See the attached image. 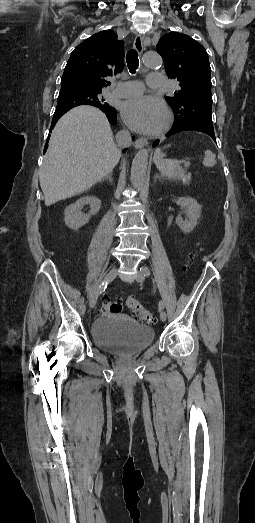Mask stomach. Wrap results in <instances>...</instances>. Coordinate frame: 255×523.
I'll return each instance as SVG.
<instances>
[{
    "label": "stomach",
    "mask_w": 255,
    "mask_h": 523,
    "mask_svg": "<svg viewBox=\"0 0 255 523\" xmlns=\"http://www.w3.org/2000/svg\"><path fill=\"white\" fill-rule=\"evenodd\" d=\"M157 156H159V158H162V154H157Z\"/></svg>",
    "instance_id": "1"
}]
</instances>
